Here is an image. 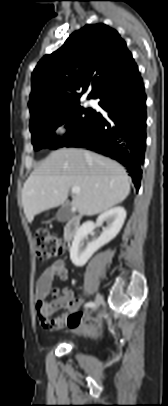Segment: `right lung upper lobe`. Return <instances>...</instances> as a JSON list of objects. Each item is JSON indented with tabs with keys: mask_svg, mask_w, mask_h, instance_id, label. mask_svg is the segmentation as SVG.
Wrapping results in <instances>:
<instances>
[{
	"mask_svg": "<svg viewBox=\"0 0 168 406\" xmlns=\"http://www.w3.org/2000/svg\"><path fill=\"white\" fill-rule=\"evenodd\" d=\"M137 65L119 33L102 23L72 33L64 45L45 55L32 73L30 123L79 103L130 77Z\"/></svg>",
	"mask_w": 168,
	"mask_h": 406,
	"instance_id": "1",
	"label": "right lung upper lobe"
}]
</instances>
